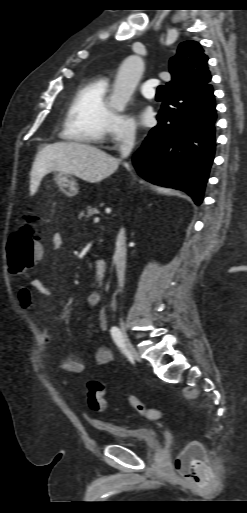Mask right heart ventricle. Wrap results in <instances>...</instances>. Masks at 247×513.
<instances>
[{"mask_svg":"<svg viewBox=\"0 0 247 513\" xmlns=\"http://www.w3.org/2000/svg\"><path fill=\"white\" fill-rule=\"evenodd\" d=\"M108 82L104 79L83 82L72 96L62 127V138L81 144H100L112 112L107 104Z\"/></svg>","mask_w":247,"mask_h":513,"instance_id":"e07e8e85","label":"right heart ventricle"}]
</instances>
